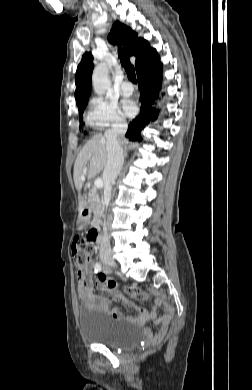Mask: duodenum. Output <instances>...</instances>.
<instances>
[{
    "mask_svg": "<svg viewBox=\"0 0 252 390\" xmlns=\"http://www.w3.org/2000/svg\"><path fill=\"white\" fill-rule=\"evenodd\" d=\"M91 209L88 208V207H85L83 210H82V213H81V221L82 223L87 226L91 223ZM94 232V237H93V241L94 242H97L99 240V232H98V228H97V224L94 223L92 228H91Z\"/></svg>",
    "mask_w": 252,
    "mask_h": 390,
    "instance_id": "obj_1",
    "label": "duodenum"
}]
</instances>
